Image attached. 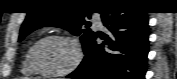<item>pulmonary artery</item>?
Masks as SVG:
<instances>
[{"instance_id": "obj_1", "label": "pulmonary artery", "mask_w": 177, "mask_h": 79, "mask_svg": "<svg viewBox=\"0 0 177 79\" xmlns=\"http://www.w3.org/2000/svg\"><path fill=\"white\" fill-rule=\"evenodd\" d=\"M93 19H94L95 25L97 27H102V21H101L100 16L96 15L93 17Z\"/></svg>"}]
</instances>
